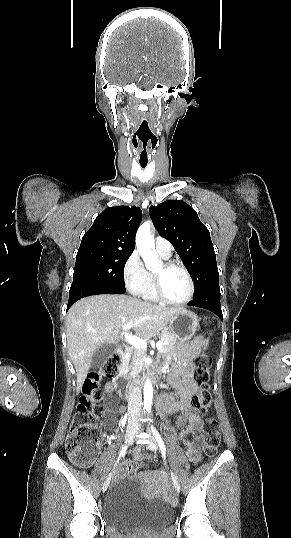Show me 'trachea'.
I'll return each mask as SVG.
<instances>
[{"mask_svg": "<svg viewBox=\"0 0 291 538\" xmlns=\"http://www.w3.org/2000/svg\"><path fill=\"white\" fill-rule=\"evenodd\" d=\"M140 165L142 168H145L147 164L141 163Z\"/></svg>", "mask_w": 291, "mask_h": 538, "instance_id": "trachea-1", "label": "trachea"}]
</instances>
